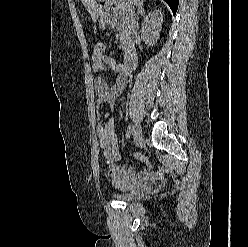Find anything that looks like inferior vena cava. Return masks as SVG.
<instances>
[{
    "mask_svg": "<svg viewBox=\"0 0 248 247\" xmlns=\"http://www.w3.org/2000/svg\"><path fill=\"white\" fill-rule=\"evenodd\" d=\"M134 7L135 5L128 1L125 11L127 23L130 25L132 32H135L136 28V14Z\"/></svg>",
    "mask_w": 248,
    "mask_h": 247,
    "instance_id": "1",
    "label": "inferior vena cava"
}]
</instances>
